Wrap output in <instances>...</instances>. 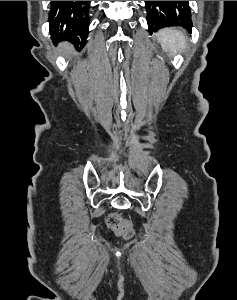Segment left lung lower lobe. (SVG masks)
Here are the masks:
<instances>
[{"label":"left lung lower lobe","instance_id":"1","mask_svg":"<svg viewBox=\"0 0 237 300\" xmlns=\"http://www.w3.org/2000/svg\"><path fill=\"white\" fill-rule=\"evenodd\" d=\"M186 2V4L187 5H189L188 4V1H185ZM158 3V1H146V6H148V5H154V4H157ZM191 30V28L189 29V31Z\"/></svg>","mask_w":237,"mask_h":300}]
</instances>
